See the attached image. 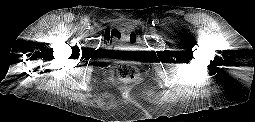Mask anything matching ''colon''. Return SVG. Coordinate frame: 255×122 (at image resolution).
<instances>
[{
  "instance_id": "obj_1",
  "label": "colon",
  "mask_w": 255,
  "mask_h": 122,
  "mask_svg": "<svg viewBox=\"0 0 255 122\" xmlns=\"http://www.w3.org/2000/svg\"><path fill=\"white\" fill-rule=\"evenodd\" d=\"M108 34L112 36L114 34V30L111 32L109 31ZM118 76L120 79H122L125 82H135L139 79V72L138 69L136 68L135 65L131 63H122L119 65L118 70H117Z\"/></svg>"
}]
</instances>
